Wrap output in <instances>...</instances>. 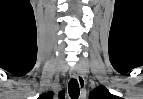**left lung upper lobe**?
<instances>
[{"mask_svg":"<svg viewBox=\"0 0 143 99\" xmlns=\"http://www.w3.org/2000/svg\"><path fill=\"white\" fill-rule=\"evenodd\" d=\"M89 99H121L112 95L104 86H99L90 92Z\"/></svg>","mask_w":143,"mask_h":99,"instance_id":"left-lung-upper-lobe-1","label":"left lung upper lobe"}]
</instances>
